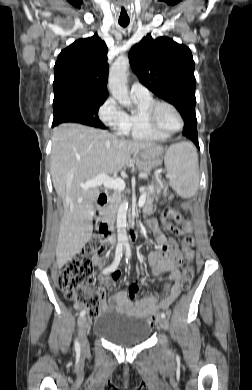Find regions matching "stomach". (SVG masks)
Here are the masks:
<instances>
[{"label":"stomach","mask_w":252,"mask_h":390,"mask_svg":"<svg viewBox=\"0 0 252 390\" xmlns=\"http://www.w3.org/2000/svg\"><path fill=\"white\" fill-rule=\"evenodd\" d=\"M163 151L156 148L140 150L136 154V164L140 171L149 173L162 163Z\"/></svg>","instance_id":"obj_1"}]
</instances>
